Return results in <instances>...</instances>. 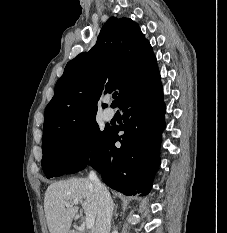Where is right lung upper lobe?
Instances as JSON below:
<instances>
[{"mask_svg": "<svg viewBox=\"0 0 227 233\" xmlns=\"http://www.w3.org/2000/svg\"><path fill=\"white\" fill-rule=\"evenodd\" d=\"M150 43L129 18L111 17L96 45L69 61L45 109L43 145L95 120L101 95L118 89L121 107L160 79ZM105 105H102L104 107Z\"/></svg>", "mask_w": 227, "mask_h": 233, "instance_id": "right-lung-upper-lobe-1", "label": "right lung upper lobe"}]
</instances>
